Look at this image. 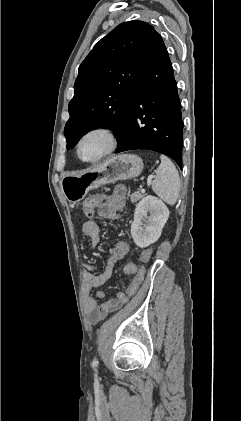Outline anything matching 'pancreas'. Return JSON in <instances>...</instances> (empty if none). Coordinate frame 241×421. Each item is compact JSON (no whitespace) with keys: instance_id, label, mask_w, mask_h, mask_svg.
<instances>
[{"instance_id":"obj_1","label":"pancreas","mask_w":241,"mask_h":421,"mask_svg":"<svg viewBox=\"0 0 241 421\" xmlns=\"http://www.w3.org/2000/svg\"><path fill=\"white\" fill-rule=\"evenodd\" d=\"M143 196H144V194H141L139 192H134V193L131 194L130 200H131V202L135 203V202L139 201Z\"/></svg>"}]
</instances>
